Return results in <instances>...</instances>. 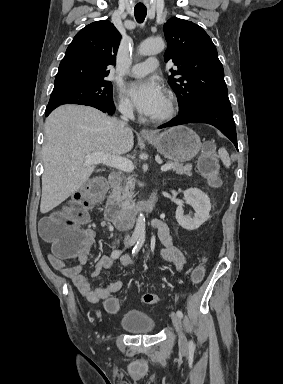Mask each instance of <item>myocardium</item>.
<instances>
[{
    "instance_id": "obj_1",
    "label": "myocardium",
    "mask_w": 283,
    "mask_h": 384,
    "mask_svg": "<svg viewBox=\"0 0 283 384\" xmlns=\"http://www.w3.org/2000/svg\"><path fill=\"white\" fill-rule=\"evenodd\" d=\"M174 112H175L174 101L171 97L168 96L165 98L164 111L160 115L156 117H152L151 121L155 123L167 121L173 117Z\"/></svg>"
}]
</instances>
